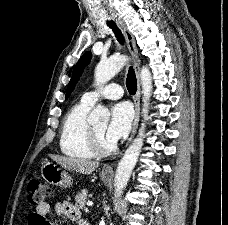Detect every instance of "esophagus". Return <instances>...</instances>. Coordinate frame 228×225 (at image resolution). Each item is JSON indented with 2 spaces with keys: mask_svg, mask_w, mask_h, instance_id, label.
I'll list each match as a JSON object with an SVG mask.
<instances>
[{
  "mask_svg": "<svg viewBox=\"0 0 228 225\" xmlns=\"http://www.w3.org/2000/svg\"><path fill=\"white\" fill-rule=\"evenodd\" d=\"M115 21L117 23V25L120 27V29L122 30L125 39H126V43H127V47L129 52L131 53L132 57L134 58V69H135V75H136V79H137V91L134 97V105H135V118H134V123H133V128H132V132L131 135L128 139V143L131 142V140H133V138L135 137L137 128H138V124H139V117H140V97H141V87H140V66L138 63V50H137V46H136V42H135V38L132 35V33L128 30V28L126 27L125 23L119 19L118 17H114ZM102 176L104 178H111L114 175V171H113V164L110 165H105L102 168Z\"/></svg>",
  "mask_w": 228,
  "mask_h": 225,
  "instance_id": "esophagus-1",
  "label": "esophagus"
}]
</instances>
